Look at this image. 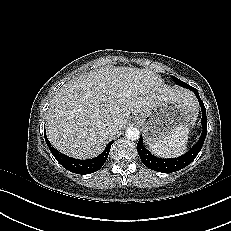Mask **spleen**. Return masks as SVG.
<instances>
[{"instance_id": "3e777b00", "label": "spleen", "mask_w": 231, "mask_h": 231, "mask_svg": "<svg viewBox=\"0 0 231 231\" xmlns=\"http://www.w3.org/2000/svg\"><path fill=\"white\" fill-rule=\"evenodd\" d=\"M190 130L179 127L173 134L149 145L153 154L163 158L179 157L186 152Z\"/></svg>"}]
</instances>
